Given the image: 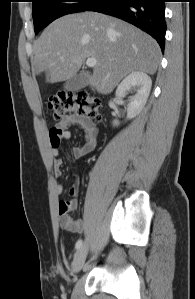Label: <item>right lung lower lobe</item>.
I'll return each mask as SVG.
<instances>
[{
    "mask_svg": "<svg viewBox=\"0 0 195 299\" xmlns=\"http://www.w3.org/2000/svg\"><path fill=\"white\" fill-rule=\"evenodd\" d=\"M165 0H93L85 10L123 19L156 39L162 51L165 45Z\"/></svg>",
    "mask_w": 195,
    "mask_h": 299,
    "instance_id": "1",
    "label": "right lung lower lobe"
}]
</instances>
